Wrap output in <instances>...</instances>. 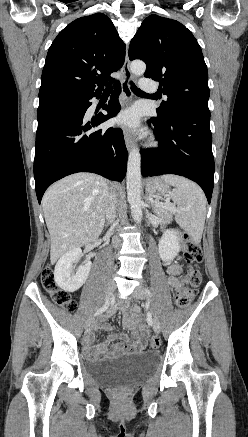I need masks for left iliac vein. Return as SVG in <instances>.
<instances>
[{"instance_id": "left-iliac-vein-1", "label": "left iliac vein", "mask_w": 248, "mask_h": 437, "mask_svg": "<svg viewBox=\"0 0 248 437\" xmlns=\"http://www.w3.org/2000/svg\"><path fill=\"white\" fill-rule=\"evenodd\" d=\"M132 296L136 299H145L147 297V293L142 286H137L135 288ZM153 330L157 334L160 333V331H161L160 322L156 317H154V319H153Z\"/></svg>"}]
</instances>
